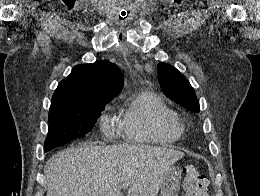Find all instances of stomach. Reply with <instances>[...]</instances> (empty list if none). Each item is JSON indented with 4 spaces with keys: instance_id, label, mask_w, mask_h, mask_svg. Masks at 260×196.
Here are the masks:
<instances>
[{
    "instance_id": "obj_1",
    "label": "stomach",
    "mask_w": 260,
    "mask_h": 196,
    "mask_svg": "<svg viewBox=\"0 0 260 196\" xmlns=\"http://www.w3.org/2000/svg\"><path fill=\"white\" fill-rule=\"evenodd\" d=\"M181 170L179 168H170L164 184L161 186L160 196H179L181 184Z\"/></svg>"
}]
</instances>
